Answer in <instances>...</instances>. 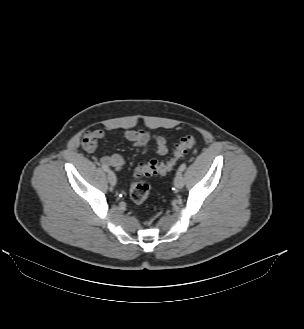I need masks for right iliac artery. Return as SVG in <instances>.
<instances>
[{"label": "right iliac artery", "instance_id": "1", "mask_svg": "<svg viewBox=\"0 0 304 329\" xmlns=\"http://www.w3.org/2000/svg\"><path fill=\"white\" fill-rule=\"evenodd\" d=\"M102 169L106 172H109V167L106 165H102Z\"/></svg>", "mask_w": 304, "mask_h": 329}]
</instances>
